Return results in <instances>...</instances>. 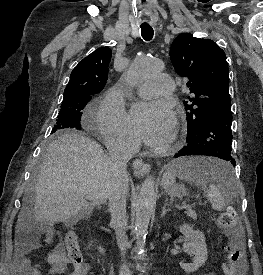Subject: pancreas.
<instances>
[{
    "instance_id": "obj_1",
    "label": "pancreas",
    "mask_w": 263,
    "mask_h": 275,
    "mask_svg": "<svg viewBox=\"0 0 263 275\" xmlns=\"http://www.w3.org/2000/svg\"><path fill=\"white\" fill-rule=\"evenodd\" d=\"M186 214H187V216H189V217H191V218H193V219H197V214H196V212L193 211V210H188V211L186 212Z\"/></svg>"
}]
</instances>
